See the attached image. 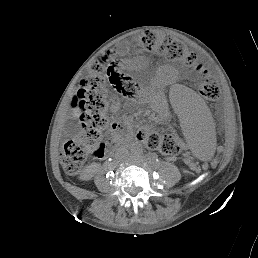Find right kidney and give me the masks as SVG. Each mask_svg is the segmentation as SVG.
I'll return each mask as SVG.
<instances>
[{"label": "right kidney", "instance_id": "ca27d5eb", "mask_svg": "<svg viewBox=\"0 0 258 258\" xmlns=\"http://www.w3.org/2000/svg\"><path fill=\"white\" fill-rule=\"evenodd\" d=\"M92 173L90 172V170L87 168L85 169L82 173H81V176H80V179L82 180H89L92 178Z\"/></svg>", "mask_w": 258, "mask_h": 258}]
</instances>
